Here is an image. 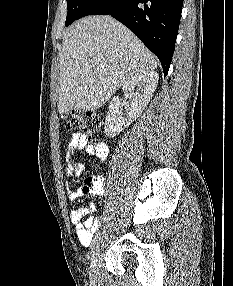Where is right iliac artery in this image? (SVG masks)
Returning a JSON list of instances; mask_svg holds the SVG:
<instances>
[{"label":"right iliac artery","instance_id":"1","mask_svg":"<svg viewBox=\"0 0 233 286\" xmlns=\"http://www.w3.org/2000/svg\"><path fill=\"white\" fill-rule=\"evenodd\" d=\"M101 235H102V232H101V231H99V232L96 234V236H95V238H94V240H93L91 252H94V249H95V247H96L98 241H100V239H101Z\"/></svg>","mask_w":233,"mask_h":286}]
</instances>
